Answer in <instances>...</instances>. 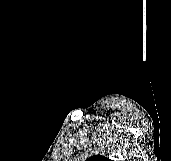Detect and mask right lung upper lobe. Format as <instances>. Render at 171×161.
<instances>
[{"instance_id": "obj_1", "label": "right lung upper lobe", "mask_w": 171, "mask_h": 161, "mask_svg": "<svg viewBox=\"0 0 171 161\" xmlns=\"http://www.w3.org/2000/svg\"><path fill=\"white\" fill-rule=\"evenodd\" d=\"M86 161H111V160L102 155H94L86 159Z\"/></svg>"}]
</instances>
